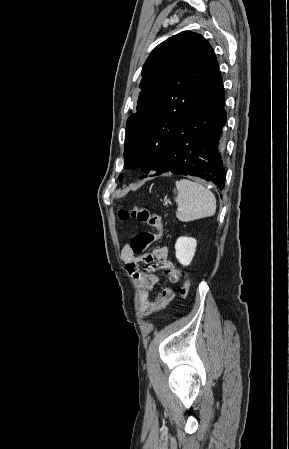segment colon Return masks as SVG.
Instances as JSON below:
<instances>
[{
    "mask_svg": "<svg viewBox=\"0 0 289 449\" xmlns=\"http://www.w3.org/2000/svg\"><path fill=\"white\" fill-rule=\"evenodd\" d=\"M118 216L120 220L125 221L129 218L135 219L141 223L147 224L149 227L156 230V233L140 232L136 234L131 242V248L136 255H142L145 249L157 240H160L164 236V227L161 217L158 214L151 213L147 208L135 206L131 209L122 208L119 210ZM190 290L189 279H184L182 286L180 287V295L183 299H186Z\"/></svg>",
    "mask_w": 289,
    "mask_h": 449,
    "instance_id": "5ec220e1",
    "label": "colon"
}]
</instances>
